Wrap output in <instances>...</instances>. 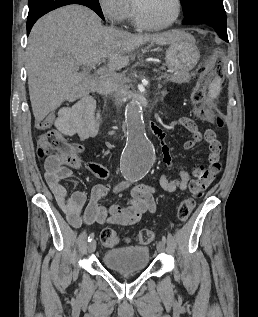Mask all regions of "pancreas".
I'll use <instances>...</instances> for the list:
<instances>
[{
    "instance_id": "cf45deb5",
    "label": "pancreas",
    "mask_w": 258,
    "mask_h": 317,
    "mask_svg": "<svg viewBox=\"0 0 258 317\" xmlns=\"http://www.w3.org/2000/svg\"><path fill=\"white\" fill-rule=\"evenodd\" d=\"M115 81L117 82L118 80L116 79ZM110 82H112V81H105V85L104 86H107V84H110ZM162 83L171 84L172 83V79L170 77L162 78ZM117 89L118 90H123L124 89V84L121 83V82L118 83L117 84ZM156 92L160 93L161 96H166L167 93H168L167 90L163 89L162 86H157L156 87Z\"/></svg>"
}]
</instances>
